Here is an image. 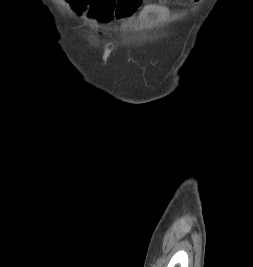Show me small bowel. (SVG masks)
Listing matches in <instances>:
<instances>
[{
  "mask_svg": "<svg viewBox=\"0 0 253 267\" xmlns=\"http://www.w3.org/2000/svg\"><path fill=\"white\" fill-rule=\"evenodd\" d=\"M72 9L86 12L92 19L108 23L119 19H131L137 13L145 20L151 14L166 15L168 8L159 3H146L144 0H68ZM166 1V0H162ZM199 2L200 0H192Z\"/></svg>",
  "mask_w": 253,
  "mask_h": 267,
  "instance_id": "c3829d8e",
  "label": "small bowel"
}]
</instances>
